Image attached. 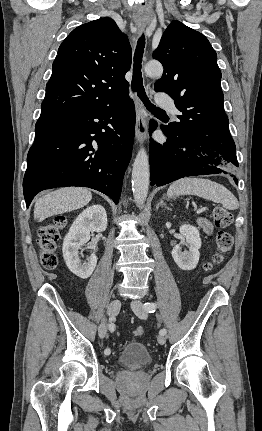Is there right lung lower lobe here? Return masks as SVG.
I'll return each mask as SVG.
<instances>
[{"instance_id":"right-lung-lower-lobe-1","label":"right lung lower lobe","mask_w":262,"mask_h":431,"mask_svg":"<svg viewBox=\"0 0 262 431\" xmlns=\"http://www.w3.org/2000/svg\"><path fill=\"white\" fill-rule=\"evenodd\" d=\"M126 98L98 111L40 115L23 180L27 207L40 191L65 186L89 187L118 203L135 128Z\"/></svg>"}]
</instances>
